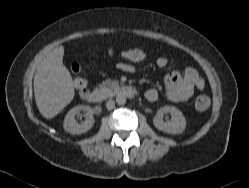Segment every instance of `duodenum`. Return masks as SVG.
Masks as SVG:
<instances>
[{
  "mask_svg": "<svg viewBox=\"0 0 249 188\" xmlns=\"http://www.w3.org/2000/svg\"><path fill=\"white\" fill-rule=\"evenodd\" d=\"M116 93L119 96H125L128 98H133L136 96L135 89L127 85L119 86L116 90ZM105 96L106 94L101 90H93L85 93V99L93 104L102 102Z\"/></svg>",
  "mask_w": 249,
  "mask_h": 188,
  "instance_id": "410a0bca",
  "label": "duodenum"
}]
</instances>
